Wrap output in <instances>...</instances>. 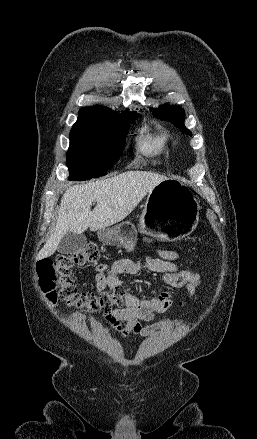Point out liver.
<instances>
[{
    "mask_svg": "<svg viewBox=\"0 0 257 439\" xmlns=\"http://www.w3.org/2000/svg\"><path fill=\"white\" fill-rule=\"evenodd\" d=\"M167 179L150 171H127L115 177L68 188L61 198L53 234L37 259L51 256L68 232L81 234L111 226L126 218L157 184ZM93 202H97L91 211Z\"/></svg>",
    "mask_w": 257,
    "mask_h": 439,
    "instance_id": "6515ba94",
    "label": "liver"
}]
</instances>
